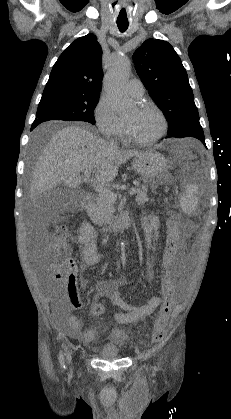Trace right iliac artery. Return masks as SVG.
Returning a JSON list of instances; mask_svg holds the SVG:
<instances>
[{
    "mask_svg": "<svg viewBox=\"0 0 231 419\" xmlns=\"http://www.w3.org/2000/svg\"><path fill=\"white\" fill-rule=\"evenodd\" d=\"M59 360H60V364H61V366H62L63 368H65V365H64V357H63L62 351L60 352V355H59Z\"/></svg>",
    "mask_w": 231,
    "mask_h": 419,
    "instance_id": "82829eb1",
    "label": "right iliac artery"
}]
</instances>
